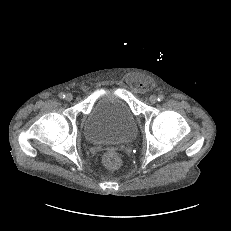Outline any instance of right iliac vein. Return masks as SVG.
<instances>
[{
    "instance_id": "63e3f726",
    "label": "right iliac vein",
    "mask_w": 231,
    "mask_h": 231,
    "mask_svg": "<svg viewBox=\"0 0 231 231\" xmlns=\"http://www.w3.org/2000/svg\"><path fill=\"white\" fill-rule=\"evenodd\" d=\"M65 99H66L67 101H72L73 95H72L71 93H68V94H66Z\"/></svg>"
}]
</instances>
